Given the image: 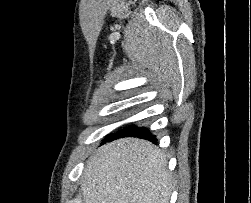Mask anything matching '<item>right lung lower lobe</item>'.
<instances>
[{
  "label": "right lung lower lobe",
  "mask_w": 251,
  "mask_h": 203,
  "mask_svg": "<svg viewBox=\"0 0 251 203\" xmlns=\"http://www.w3.org/2000/svg\"><path fill=\"white\" fill-rule=\"evenodd\" d=\"M138 137V138H142V139H148L153 143L157 142V139L155 138V136H153L149 130L145 129V128H137L135 126H131L128 128H125L117 133H115L114 135H111L110 138H108V141L114 140V139H118V138H122V137Z\"/></svg>",
  "instance_id": "obj_1"
}]
</instances>
